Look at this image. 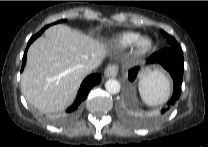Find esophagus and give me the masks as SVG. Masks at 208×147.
<instances>
[{"mask_svg": "<svg viewBox=\"0 0 208 147\" xmlns=\"http://www.w3.org/2000/svg\"><path fill=\"white\" fill-rule=\"evenodd\" d=\"M118 73V67L114 64L109 65L104 72L106 78H113Z\"/></svg>", "mask_w": 208, "mask_h": 147, "instance_id": "1", "label": "esophagus"}]
</instances>
